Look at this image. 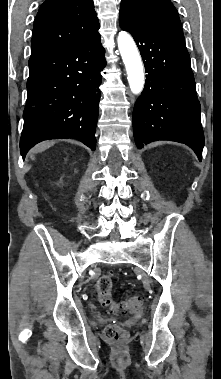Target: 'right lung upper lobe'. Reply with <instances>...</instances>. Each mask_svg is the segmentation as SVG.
<instances>
[{
  "mask_svg": "<svg viewBox=\"0 0 221 379\" xmlns=\"http://www.w3.org/2000/svg\"><path fill=\"white\" fill-rule=\"evenodd\" d=\"M99 26L93 0H46L34 21L29 61L75 45Z\"/></svg>",
  "mask_w": 221,
  "mask_h": 379,
  "instance_id": "cb5924a9",
  "label": "right lung upper lobe"
}]
</instances>
